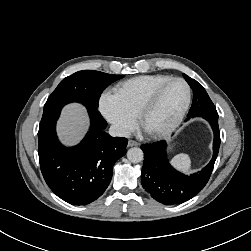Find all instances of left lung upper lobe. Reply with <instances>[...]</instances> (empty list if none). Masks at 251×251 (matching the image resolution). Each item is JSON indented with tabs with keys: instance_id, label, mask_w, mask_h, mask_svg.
<instances>
[{
	"instance_id": "obj_1",
	"label": "left lung upper lobe",
	"mask_w": 251,
	"mask_h": 251,
	"mask_svg": "<svg viewBox=\"0 0 251 251\" xmlns=\"http://www.w3.org/2000/svg\"><path fill=\"white\" fill-rule=\"evenodd\" d=\"M185 80L190 85L193 90V96L198 99V102H192L191 109L187 115L188 118L208 115V116H218L216 108L209 98L205 89L194 79H191L186 74H183Z\"/></svg>"
}]
</instances>
